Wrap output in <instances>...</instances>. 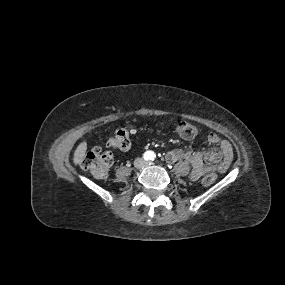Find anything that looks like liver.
Returning a JSON list of instances; mask_svg holds the SVG:
<instances>
[{
    "mask_svg": "<svg viewBox=\"0 0 285 285\" xmlns=\"http://www.w3.org/2000/svg\"><path fill=\"white\" fill-rule=\"evenodd\" d=\"M86 150H87L86 142H82L78 145L77 149L74 152V156H73V163L75 165L80 164L83 161Z\"/></svg>",
    "mask_w": 285,
    "mask_h": 285,
    "instance_id": "1",
    "label": "liver"
}]
</instances>
